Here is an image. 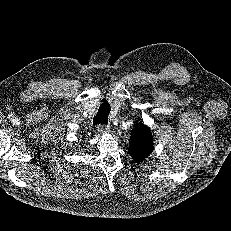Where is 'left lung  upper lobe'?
<instances>
[{
	"mask_svg": "<svg viewBox=\"0 0 231 231\" xmlns=\"http://www.w3.org/2000/svg\"><path fill=\"white\" fill-rule=\"evenodd\" d=\"M132 136L129 154L136 163L140 164L152 153L153 142L151 131L147 126L137 123Z\"/></svg>",
	"mask_w": 231,
	"mask_h": 231,
	"instance_id": "obj_1",
	"label": "left lung upper lobe"
}]
</instances>
